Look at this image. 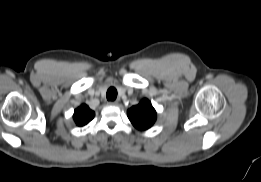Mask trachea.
Instances as JSON below:
<instances>
[{"mask_svg":"<svg viewBox=\"0 0 261 182\" xmlns=\"http://www.w3.org/2000/svg\"><path fill=\"white\" fill-rule=\"evenodd\" d=\"M107 100L114 101L117 98V90L114 87H110L106 94Z\"/></svg>","mask_w":261,"mask_h":182,"instance_id":"1","label":"trachea"}]
</instances>
